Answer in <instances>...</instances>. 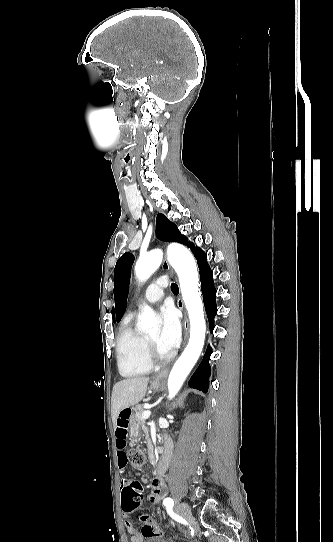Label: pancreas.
Masks as SVG:
<instances>
[{"label":"pancreas","mask_w":333,"mask_h":542,"mask_svg":"<svg viewBox=\"0 0 333 542\" xmlns=\"http://www.w3.org/2000/svg\"><path fill=\"white\" fill-rule=\"evenodd\" d=\"M135 414L132 416V420L136 422V424H140L142 430H146L145 428V420L142 418L143 412H146V410H142V406H137L134 410Z\"/></svg>","instance_id":"1"}]
</instances>
